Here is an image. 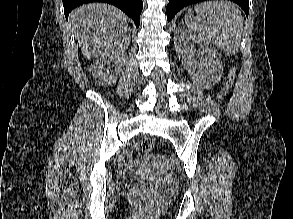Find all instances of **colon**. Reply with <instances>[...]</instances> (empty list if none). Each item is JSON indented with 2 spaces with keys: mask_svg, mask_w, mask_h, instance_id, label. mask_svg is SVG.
<instances>
[{
  "mask_svg": "<svg viewBox=\"0 0 293 219\" xmlns=\"http://www.w3.org/2000/svg\"><path fill=\"white\" fill-rule=\"evenodd\" d=\"M235 72H236L235 67H233L229 71L226 83L221 87V89L218 92V96H217L218 100H223L228 95L234 83ZM153 146H154L153 137L144 136L139 140L137 145V150L140 154H147L152 150ZM139 203L143 205L146 209L152 211L153 202L149 197H140Z\"/></svg>",
  "mask_w": 293,
  "mask_h": 219,
  "instance_id": "5ec220e1",
  "label": "colon"
}]
</instances>
